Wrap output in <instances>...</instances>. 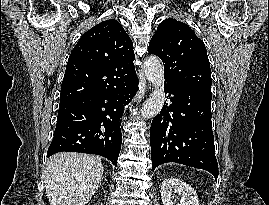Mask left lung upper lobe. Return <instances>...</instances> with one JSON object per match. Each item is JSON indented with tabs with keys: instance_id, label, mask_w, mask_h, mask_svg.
Returning <instances> with one entry per match:
<instances>
[{
	"instance_id": "obj_1",
	"label": "left lung upper lobe",
	"mask_w": 269,
	"mask_h": 205,
	"mask_svg": "<svg viewBox=\"0 0 269 205\" xmlns=\"http://www.w3.org/2000/svg\"><path fill=\"white\" fill-rule=\"evenodd\" d=\"M148 51L163 61L166 85L183 90L211 91V70L205 45L188 25L165 19L153 35Z\"/></svg>"
}]
</instances>
